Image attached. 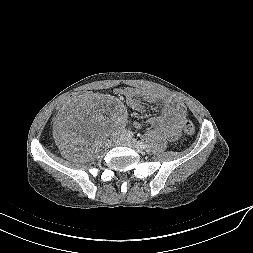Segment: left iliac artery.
<instances>
[{"label":"left iliac artery","mask_w":253,"mask_h":253,"mask_svg":"<svg viewBox=\"0 0 253 253\" xmlns=\"http://www.w3.org/2000/svg\"><path fill=\"white\" fill-rule=\"evenodd\" d=\"M139 146H140V148L144 149V148H146L147 145L144 141H140Z\"/></svg>","instance_id":"obj_1"}]
</instances>
